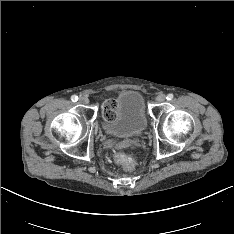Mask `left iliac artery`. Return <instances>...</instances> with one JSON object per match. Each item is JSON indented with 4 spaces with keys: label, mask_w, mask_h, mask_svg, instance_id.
<instances>
[{
    "label": "left iliac artery",
    "mask_w": 234,
    "mask_h": 234,
    "mask_svg": "<svg viewBox=\"0 0 234 234\" xmlns=\"http://www.w3.org/2000/svg\"><path fill=\"white\" fill-rule=\"evenodd\" d=\"M173 97H174V96H173V94H171V93H170V94H168V95H167V97H166V98H167V100H172V99H173Z\"/></svg>",
    "instance_id": "obj_1"
}]
</instances>
